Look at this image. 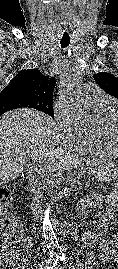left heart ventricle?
I'll return each instance as SVG.
<instances>
[{
	"instance_id": "b2bd125f",
	"label": "left heart ventricle",
	"mask_w": 118,
	"mask_h": 269,
	"mask_svg": "<svg viewBox=\"0 0 118 269\" xmlns=\"http://www.w3.org/2000/svg\"><path fill=\"white\" fill-rule=\"evenodd\" d=\"M104 129H105V126L100 121L97 126V131L101 132V131H104ZM109 133L114 140L118 141V119H116L115 122L111 125L109 129Z\"/></svg>"
}]
</instances>
